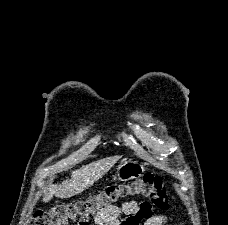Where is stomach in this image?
<instances>
[{
    "label": "stomach",
    "mask_w": 228,
    "mask_h": 225,
    "mask_svg": "<svg viewBox=\"0 0 228 225\" xmlns=\"http://www.w3.org/2000/svg\"><path fill=\"white\" fill-rule=\"evenodd\" d=\"M145 171L144 165L138 161H124L117 169L118 181H132V179H139Z\"/></svg>",
    "instance_id": "obj_1"
}]
</instances>
